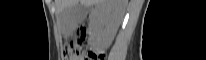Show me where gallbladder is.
<instances>
[{
  "label": "gallbladder",
  "instance_id": "obj_1",
  "mask_svg": "<svg viewBox=\"0 0 206 60\" xmlns=\"http://www.w3.org/2000/svg\"><path fill=\"white\" fill-rule=\"evenodd\" d=\"M87 15V8L80 3L72 4L59 13L60 24L64 30H74Z\"/></svg>",
  "mask_w": 206,
  "mask_h": 60
}]
</instances>
